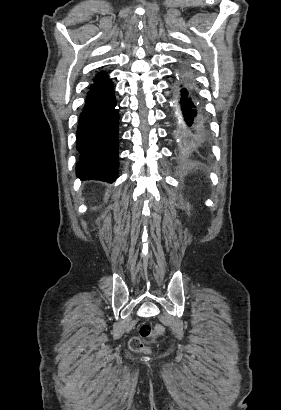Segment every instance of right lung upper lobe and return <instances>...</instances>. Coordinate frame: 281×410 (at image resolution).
<instances>
[{
    "mask_svg": "<svg viewBox=\"0 0 281 410\" xmlns=\"http://www.w3.org/2000/svg\"><path fill=\"white\" fill-rule=\"evenodd\" d=\"M107 81H109V79H108L106 73L101 72L96 76V78L94 80V84L91 86V88L99 86V85H101V84H103Z\"/></svg>",
    "mask_w": 281,
    "mask_h": 410,
    "instance_id": "obj_1",
    "label": "right lung upper lobe"
}]
</instances>
